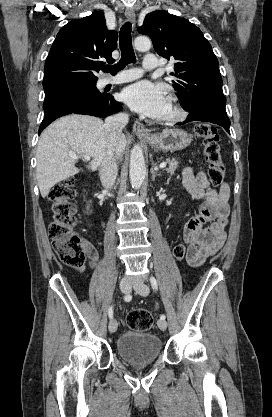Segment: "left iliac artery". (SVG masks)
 Returning <instances> with one entry per match:
<instances>
[{
	"mask_svg": "<svg viewBox=\"0 0 272 417\" xmlns=\"http://www.w3.org/2000/svg\"><path fill=\"white\" fill-rule=\"evenodd\" d=\"M150 283H151V286H152L153 290L157 291L158 290V284H157L156 279L153 276L150 278ZM165 318H166V316L164 314H162L160 316V319H165Z\"/></svg>",
	"mask_w": 272,
	"mask_h": 417,
	"instance_id": "left-iliac-artery-1",
	"label": "left iliac artery"
}]
</instances>
